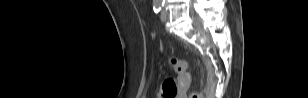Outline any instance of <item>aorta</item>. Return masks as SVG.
<instances>
[{"mask_svg":"<svg viewBox=\"0 0 308 98\" xmlns=\"http://www.w3.org/2000/svg\"><path fill=\"white\" fill-rule=\"evenodd\" d=\"M157 2H161V0H157Z\"/></svg>","mask_w":308,"mask_h":98,"instance_id":"762f6f07","label":"aorta"}]
</instances>
